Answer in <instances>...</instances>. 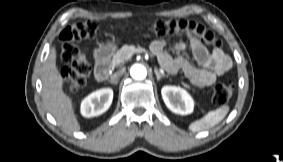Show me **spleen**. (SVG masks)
I'll use <instances>...</instances> for the list:
<instances>
[{"mask_svg":"<svg viewBox=\"0 0 283 162\" xmlns=\"http://www.w3.org/2000/svg\"><path fill=\"white\" fill-rule=\"evenodd\" d=\"M228 112H229V107L227 105L222 106L216 110L209 111L201 119L192 122L189 125V130L193 132H198L201 130L212 128L218 123H220Z\"/></svg>","mask_w":283,"mask_h":162,"instance_id":"3e777b00","label":"spleen"}]
</instances>
